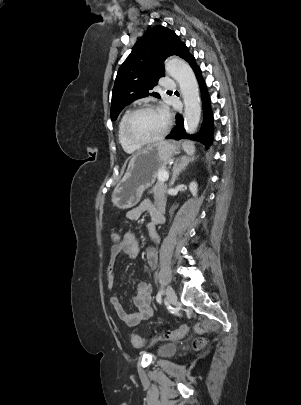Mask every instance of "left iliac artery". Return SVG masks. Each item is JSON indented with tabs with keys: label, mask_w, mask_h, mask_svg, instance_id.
Segmentation results:
<instances>
[{
	"label": "left iliac artery",
	"mask_w": 301,
	"mask_h": 405,
	"mask_svg": "<svg viewBox=\"0 0 301 405\" xmlns=\"http://www.w3.org/2000/svg\"><path fill=\"white\" fill-rule=\"evenodd\" d=\"M160 283L162 284V280H161V279H160ZM162 292H163V290L161 289V290L158 292L157 296H156V301H157L159 304L162 303Z\"/></svg>",
	"instance_id": "obj_1"
}]
</instances>
